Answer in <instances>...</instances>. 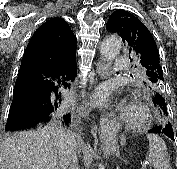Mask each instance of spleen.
<instances>
[{"label": "spleen", "mask_w": 177, "mask_h": 169, "mask_svg": "<svg viewBox=\"0 0 177 169\" xmlns=\"http://www.w3.org/2000/svg\"><path fill=\"white\" fill-rule=\"evenodd\" d=\"M149 151L147 161L154 169H172L169 162L167 147L164 140L155 134H148Z\"/></svg>", "instance_id": "3e777b00"}]
</instances>
